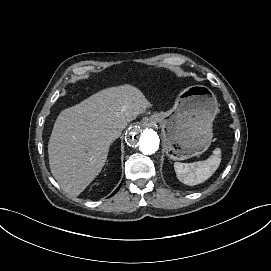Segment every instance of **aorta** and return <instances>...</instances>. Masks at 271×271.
<instances>
[{"label":"aorta","mask_w":271,"mask_h":271,"mask_svg":"<svg viewBox=\"0 0 271 271\" xmlns=\"http://www.w3.org/2000/svg\"><path fill=\"white\" fill-rule=\"evenodd\" d=\"M126 142L132 149L139 150L145 155H152L159 149L160 139L153 129L136 124L127 132Z\"/></svg>","instance_id":"obj_1"}]
</instances>
